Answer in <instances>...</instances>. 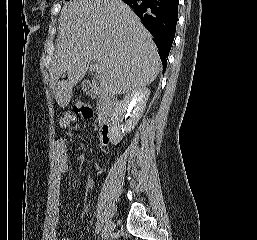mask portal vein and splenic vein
<instances>
[{"instance_id":"18ae733b","label":"portal vein and splenic vein","mask_w":257,"mask_h":240,"mask_svg":"<svg viewBox=\"0 0 257 240\" xmlns=\"http://www.w3.org/2000/svg\"><path fill=\"white\" fill-rule=\"evenodd\" d=\"M91 69L94 70L96 73H99L101 71L100 65L97 62L91 65Z\"/></svg>"}]
</instances>
